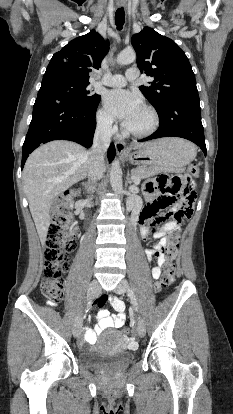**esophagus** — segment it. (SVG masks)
Returning a JSON list of instances; mask_svg holds the SVG:
<instances>
[{"instance_id": "obj_1", "label": "esophagus", "mask_w": 233, "mask_h": 414, "mask_svg": "<svg viewBox=\"0 0 233 414\" xmlns=\"http://www.w3.org/2000/svg\"><path fill=\"white\" fill-rule=\"evenodd\" d=\"M118 6L119 7H124L125 6L124 0H119ZM115 148H116L117 154L124 155V154L128 153L126 145L122 141H116L115 142Z\"/></svg>"}]
</instances>
